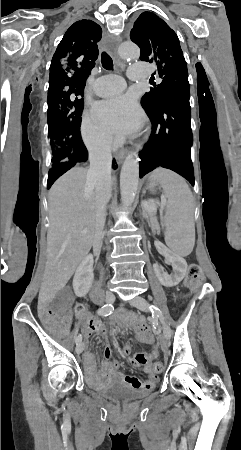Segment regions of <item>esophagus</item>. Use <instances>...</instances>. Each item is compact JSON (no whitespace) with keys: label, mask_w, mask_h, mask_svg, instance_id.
I'll return each mask as SVG.
<instances>
[{"label":"esophagus","mask_w":241,"mask_h":450,"mask_svg":"<svg viewBox=\"0 0 241 450\" xmlns=\"http://www.w3.org/2000/svg\"><path fill=\"white\" fill-rule=\"evenodd\" d=\"M120 43H121L120 37H114L112 35H107L106 45L109 47L110 53L114 58L117 57V50H118V46ZM126 154H127V151H126V149H124L116 154V158L119 161H121V160H123V158L125 157Z\"/></svg>","instance_id":"obj_1"}]
</instances>
